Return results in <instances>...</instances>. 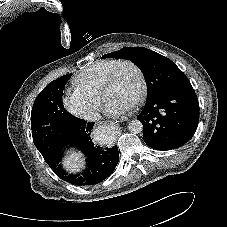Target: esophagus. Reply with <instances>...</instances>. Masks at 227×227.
I'll return each mask as SVG.
<instances>
[{"label":"esophagus","instance_id":"1","mask_svg":"<svg viewBox=\"0 0 227 227\" xmlns=\"http://www.w3.org/2000/svg\"><path fill=\"white\" fill-rule=\"evenodd\" d=\"M110 125H111V127H116V129L118 130V128H119V126H118V124H116V123H114V122H112V123H110Z\"/></svg>","mask_w":227,"mask_h":227}]
</instances>
